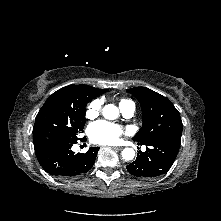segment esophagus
<instances>
[{"instance_id": "obj_1", "label": "esophagus", "mask_w": 221, "mask_h": 221, "mask_svg": "<svg viewBox=\"0 0 221 221\" xmlns=\"http://www.w3.org/2000/svg\"><path fill=\"white\" fill-rule=\"evenodd\" d=\"M113 149H115V150H121V149H123V147L116 146V147H113Z\"/></svg>"}]
</instances>
